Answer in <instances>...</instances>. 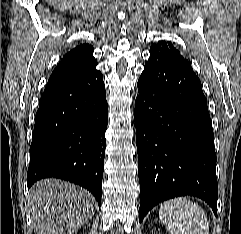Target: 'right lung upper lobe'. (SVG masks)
<instances>
[{
	"label": "right lung upper lobe",
	"instance_id": "right-lung-upper-lobe-1",
	"mask_svg": "<svg viewBox=\"0 0 241 234\" xmlns=\"http://www.w3.org/2000/svg\"><path fill=\"white\" fill-rule=\"evenodd\" d=\"M95 65L97 62L93 57V47L89 44H80L61 59L48 84L80 75Z\"/></svg>",
	"mask_w": 241,
	"mask_h": 234
}]
</instances>
